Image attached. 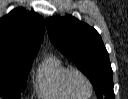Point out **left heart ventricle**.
Masks as SVG:
<instances>
[{
  "label": "left heart ventricle",
  "instance_id": "1",
  "mask_svg": "<svg viewBox=\"0 0 128 99\" xmlns=\"http://www.w3.org/2000/svg\"><path fill=\"white\" fill-rule=\"evenodd\" d=\"M71 87L74 93L80 97H86L89 95L90 88L87 82L79 75H74L71 78Z\"/></svg>",
  "mask_w": 128,
  "mask_h": 99
}]
</instances>
